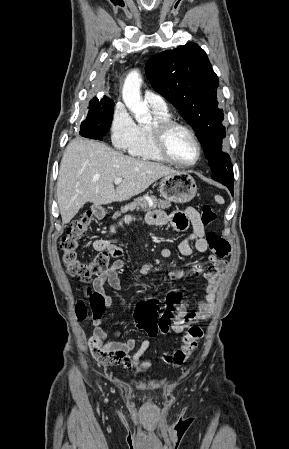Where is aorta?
I'll use <instances>...</instances> for the list:
<instances>
[{"mask_svg": "<svg viewBox=\"0 0 289 449\" xmlns=\"http://www.w3.org/2000/svg\"><path fill=\"white\" fill-rule=\"evenodd\" d=\"M142 78L138 70H132L126 77L122 97L127 108L134 114L138 123L151 121L148 105L141 99L140 87Z\"/></svg>", "mask_w": 289, "mask_h": 449, "instance_id": "1", "label": "aorta"}]
</instances>
